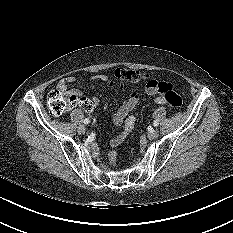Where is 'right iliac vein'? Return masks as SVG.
<instances>
[{
    "label": "right iliac vein",
    "instance_id": "1",
    "mask_svg": "<svg viewBox=\"0 0 233 233\" xmlns=\"http://www.w3.org/2000/svg\"><path fill=\"white\" fill-rule=\"evenodd\" d=\"M78 133L79 134H85V132H86V127L84 126V125H80L79 127H78Z\"/></svg>",
    "mask_w": 233,
    "mask_h": 233
}]
</instances>
